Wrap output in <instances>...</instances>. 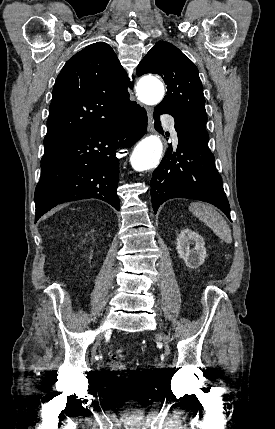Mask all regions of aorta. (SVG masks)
<instances>
[{"mask_svg": "<svg viewBox=\"0 0 275 429\" xmlns=\"http://www.w3.org/2000/svg\"><path fill=\"white\" fill-rule=\"evenodd\" d=\"M164 97V85L157 78H143L138 84V98L145 104H158ZM163 151L162 142L157 135L142 139L131 156V162L137 171H145L158 165Z\"/></svg>", "mask_w": 275, "mask_h": 429, "instance_id": "obj_1", "label": "aorta"}]
</instances>
